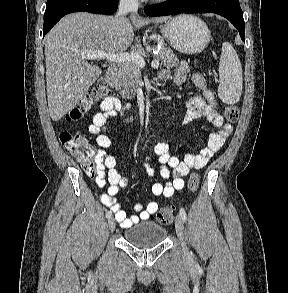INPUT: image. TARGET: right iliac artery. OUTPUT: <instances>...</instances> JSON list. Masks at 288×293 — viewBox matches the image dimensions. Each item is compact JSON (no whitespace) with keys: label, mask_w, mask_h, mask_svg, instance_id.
I'll list each match as a JSON object with an SVG mask.
<instances>
[{"label":"right iliac artery","mask_w":288,"mask_h":293,"mask_svg":"<svg viewBox=\"0 0 288 293\" xmlns=\"http://www.w3.org/2000/svg\"><path fill=\"white\" fill-rule=\"evenodd\" d=\"M111 216H112V212H111V211H107V213H106V217L109 218V217H111Z\"/></svg>","instance_id":"obj_1"}]
</instances>
